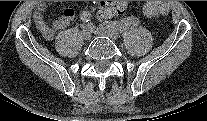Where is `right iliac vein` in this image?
<instances>
[{
	"mask_svg": "<svg viewBox=\"0 0 207 121\" xmlns=\"http://www.w3.org/2000/svg\"><path fill=\"white\" fill-rule=\"evenodd\" d=\"M83 38H84L86 41L91 40V38H92V32H91V29H90L89 26H84V27H83Z\"/></svg>",
	"mask_w": 207,
	"mask_h": 121,
	"instance_id": "right-iliac-vein-1",
	"label": "right iliac vein"
}]
</instances>
